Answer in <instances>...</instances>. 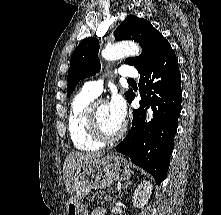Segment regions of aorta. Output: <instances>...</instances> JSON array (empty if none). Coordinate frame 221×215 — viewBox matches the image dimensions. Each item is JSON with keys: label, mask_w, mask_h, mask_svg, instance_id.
I'll return each mask as SVG.
<instances>
[{"label": "aorta", "mask_w": 221, "mask_h": 215, "mask_svg": "<svg viewBox=\"0 0 221 215\" xmlns=\"http://www.w3.org/2000/svg\"><path fill=\"white\" fill-rule=\"evenodd\" d=\"M140 47L134 42H119L107 46L101 53V56L108 61H115L127 55L137 56L140 53Z\"/></svg>", "instance_id": "aorta-1"}]
</instances>
